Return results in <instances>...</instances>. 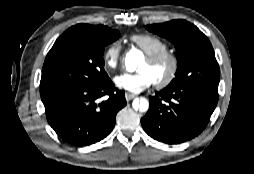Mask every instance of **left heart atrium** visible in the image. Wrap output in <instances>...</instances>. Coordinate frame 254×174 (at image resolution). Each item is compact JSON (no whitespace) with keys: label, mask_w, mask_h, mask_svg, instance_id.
Wrapping results in <instances>:
<instances>
[{"label":"left heart atrium","mask_w":254,"mask_h":174,"mask_svg":"<svg viewBox=\"0 0 254 174\" xmlns=\"http://www.w3.org/2000/svg\"><path fill=\"white\" fill-rule=\"evenodd\" d=\"M114 82L117 87L132 93H139L155 83L146 71L122 73L114 78Z\"/></svg>","instance_id":"obj_1"}]
</instances>
